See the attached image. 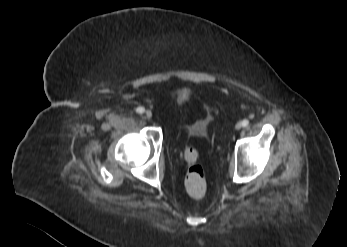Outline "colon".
<instances>
[{
	"label": "colon",
	"instance_id": "1",
	"mask_svg": "<svg viewBox=\"0 0 347 247\" xmlns=\"http://www.w3.org/2000/svg\"><path fill=\"white\" fill-rule=\"evenodd\" d=\"M185 159L188 171L185 177V189L188 195L194 199H200L206 192L204 169L199 162V154L195 147L189 145L185 149Z\"/></svg>",
	"mask_w": 347,
	"mask_h": 247
}]
</instances>
